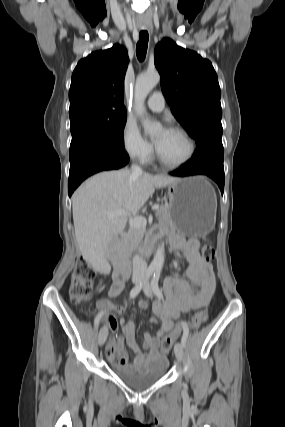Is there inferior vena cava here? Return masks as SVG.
I'll return each mask as SVG.
<instances>
[{"label": "inferior vena cava", "instance_id": "1", "mask_svg": "<svg viewBox=\"0 0 285 427\" xmlns=\"http://www.w3.org/2000/svg\"><path fill=\"white\" fill-rule=\"evenodd\" d=\"M131 171L134 174L142 173V169L135 164H132ZM146 271H147L146 261L143 260L140 256L135 255L133 258V274L134 275H144L146 273Z\"/></svg>", "mask_w": 285, "mask_h": 427}]
</instances>
